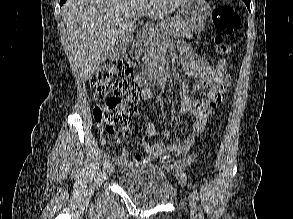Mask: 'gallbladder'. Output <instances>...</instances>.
<instances>
[{"label": "gallbladder", "mask_w": 293, "mask_h": 219, "mask_svg": "<svg viewBox=\"0 0 293 219\" xmlns=\"http://www.w3.org/2000/svg\"><path fill=\"white\" fill-rule=\"evenodd\" d=\"M133 41V36L132 35H121L117 38L114 50L109 56V59L114 61L119 59L127 50L129 47L130 43Z\"/></svg>", "instance_id": "bac80fb5"}]
</instances>
